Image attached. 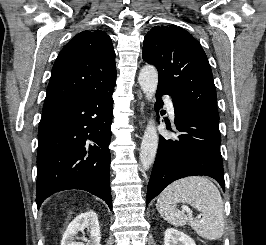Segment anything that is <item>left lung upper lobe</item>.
<instances>
[{
    "label": "left lung upper lobe",
    "instance_id": "1",
    "mask_svg": "<svg viewBox=\"0 0 266 245\" xmlns=\"http://www.w3.org/2000/svg\"><path fill=\"white\" fill-rule=\"evenodd\" d=\"M143 60L158 70V88L176 102L218 118L217 96L207 56L181 27L156 26L144 38Z\"/></svg>",
    "mask_w": 266,
    "mask_h": 245
}]
</instances>
